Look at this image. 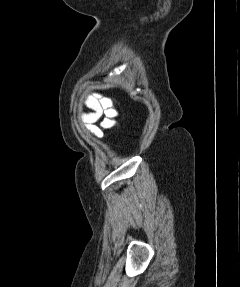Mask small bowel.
<instances>
[{"mask_svg": "<svg viewBox=\"0 0 240 287\" xmlns=\"http://www.w3.org/2000/svg\"><path fill=\"white\" fill-rule=\"evenodd\" d=\"M85 105L90 109V112L82 115L83 121L87 124V129L96 137L101 138L103 136L102 131L95 125V123L102 116L101 108L96 100L92 96H85L83 99Z\"/></svg>", "mask_w": 240, "mask_h": 287, "instance_id": "obj_1", "label": "small bowel"}]
</instances>
